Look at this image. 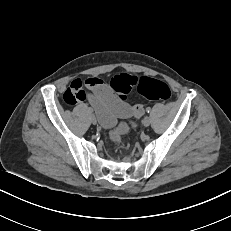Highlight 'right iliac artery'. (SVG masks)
<instances>
[{
	"label": "right iliac artery",
	"instance_id": "obj_1",
	"mask_svg": "<svg viewBox=\"0 0 231 231\" xmlns=\"http://www.w3.org/2000/svg\"><path fill=\"white\" fill-rule=\"evenodd\" d=\"M89 112L92 113V112H93V109L89 108Z\"/></svg>",
	"mask_w": 231,
	"mask_h": 231
}]
</instances>
